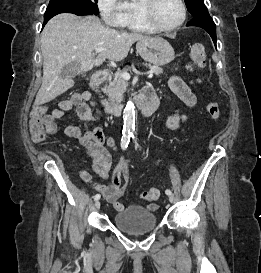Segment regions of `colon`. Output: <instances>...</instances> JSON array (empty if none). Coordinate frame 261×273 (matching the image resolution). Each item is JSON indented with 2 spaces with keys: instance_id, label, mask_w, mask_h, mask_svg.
Masks as SVG:
<instances>
[{
  "instance_id": "1",
  "label": "colon",
  "mask_w": 261,
  "mask_h": 273,
  "mask_svg": "<svg viewBox=\"0 0 261 273\" xmlns=\"http://www.w3.org/2000/svg\"><path fill=\"white\" fill-rule=\"evenodd\" d=\"M206 62V50L202 44H193L190 48V70L202 68ZM208 116L212 120L220 117V108L217 102L211 101L206 106ZM47 116L46 106H36L32 109L29 117V129L31 136L36 142H43L46 138L44 122ZM160 197V189L152 187L143 192V198L148 201H156Z\"/></svg>"
}]
</instances>
